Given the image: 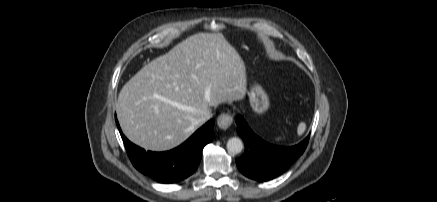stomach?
Wrapping results in <instances>:
<instances>
[{
  "label": "stomach",
  "instance_id": "0dacf381",
  "mask_svg": "<svg viewBox=\"0 0 437 202\" xmlns=\"http://www.w3.org/2000/svg\"><path fill=\"white\" fill-rule=\"evenodd\" d=\"M252 109L257 114L264 113L269 107V99L266 92L259 85H255L248 93Z\"/></svg>",
  "mask_w": 437,
  "mask_h": 202
}]
</instances>
